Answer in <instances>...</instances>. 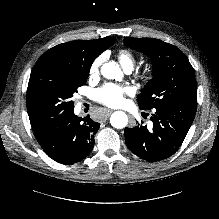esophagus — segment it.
<instances>
[{
    "label": "esophagus",
    "instance_id": "esophagus-1",
    "mask_svg": "<svg viewBox=\"0 0 219 219\" xmlns=\"http://www.w3.org/2000/svg\"><path fill=\"white\" fill-rule=\"evenodd\" d=\"M112 112H113L112 109H107V110H106L107 115H110Z\"/></svg>",
    "mask_w": 219,
    "mask_h": 219
}]
</instances>
